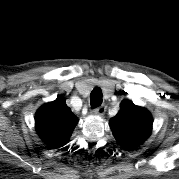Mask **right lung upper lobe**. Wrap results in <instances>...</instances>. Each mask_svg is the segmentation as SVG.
Returning a JSON list of instances; mask_svg holds the SVG:
<instances>
[{
  "label": "right lung upper lobe",
  "mask_w": 179,
  "mask_h": 179,
  "mask_svg": "<svg viewBox=\"0 0 179 179\" xmlns=\"http://www.w3.org/2000/svg\"><path fill=\"white\" fill-rule=\"evenodd\" d=\"M36 130L40 138L51 148L63 147L69 140L77 117L66 105L63 97L41 106L35 115Z\"/></svg>",
  "instance_id": "obj_1"
}]
</instances>
